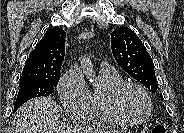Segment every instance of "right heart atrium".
Returning <instances> with one entry per match:
<instances>
[{"mask_svg": "<svg viewBox=\"0 0 184 133\" xmlns=\"http://www.w3.org/2000/svg\"><path fill=\"white\" fill-rule=\"evenodd\" d=\"M58 96L66 114L73 120L84 122L91 111V91L77 68L67 70L61 77Z\"/></svg>", "mask_w": 184, "mask_h": 133, "instance_id": "obj_1", "label": "right heart atrium"}]
</instances>
